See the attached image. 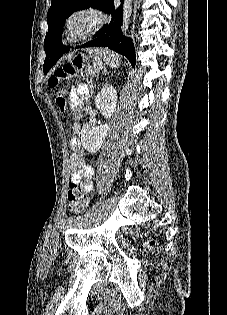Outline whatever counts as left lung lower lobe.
<instances>
[{
    "label": "left lung lower lobe",
    "instance_id": "1",
    "mask_svg": "<svg viewBox=\"0 0 227 315\" xmlns=\"http://www.w3.org/2000/svg\"><path fill=\"white\" fill-rule=\"evenodd\" d=\"M123 3V0H121ZM104 11L111 14L112 18L108 25L103 26L95 34V39L81 45V47H108L124 55L135 66V49L132 40L125 37L121 31L123 19V6H114V0H109ZM46 59L44 62V72L47 73L57 60L65 53L68 48L61 44V41L52 40L44 45Z\"/></svg>",
    "mask_w": 227,
    "mask_h": 315
}]
</instances>
